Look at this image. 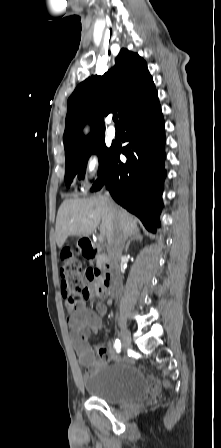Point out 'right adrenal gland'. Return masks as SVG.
I'll return each mask as SVG.
<instances>
[{"instance_id": "2a0ac1e0", "label": "right adrenal gland", "mask_w": 221, "mask_h": 448, "mask_svg": "<svg viewBox=\"0 0 221 448\" xmlns=\"http://www.w3.org/2000/svg\"><path fill=\"white\" fill-rule=\"evenodd\" d=\"M142 240H143V237H142L141 233L140 232L136 233L134 236H132L128 240V242L126 244V247H125V251H127L129 249V246H130L132 241H140L141 242Z\"/></svg>"}]
</instances>
